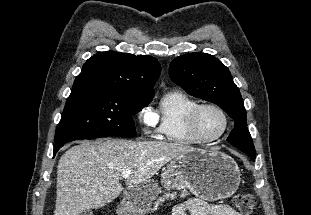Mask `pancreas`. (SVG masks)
I'll return each mask as SVG.
<instances>
[{"mask_svg": "<svg viewBox=\"0 0 311 215\" xmlns=\"http://www.w3.org/2000/svg\"><path fill=\"white\" fill-rule=\"evenodd\" d=\"M185 195L186 193L183 192L182 196H185ZM176 197H177L176 192H172V193L166 192L162 197L157 199V201L154 203L153 208H151L150 211L152 213L155 212L158 209V207L162 205L163 202H165V200H174Z\"/></svg>", "mask_w": 311, "mask_h": 215, "instance_id": "obj_1", "label": "pancreas"}]
</instances>
